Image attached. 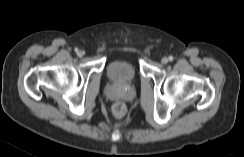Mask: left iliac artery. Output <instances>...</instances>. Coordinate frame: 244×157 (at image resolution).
Here are the masks:
<instances>
[{"instance_id": "1", "label": "left iliac artery", "mask_w": 244, "mask_h": 157, "mask_svg": "<svg viewBox=\"0 0 244 157\" xmlns=\"http://www.w3.org/2000/svg\"><path fill=\"white\" fill-rule=\"evenodd\" d=\"M169 60L172 61L173 60V56H169Z\"/></svg>"}]
</instances>
